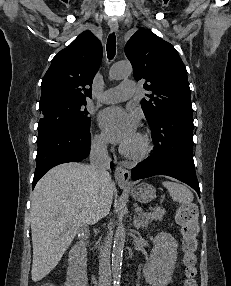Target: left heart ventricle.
Wrapping results in <instances>:
<instances>
[{"instance_id": "1", "label": "left heart ventricle", "mask_w": 231, "mask_h": 286, "mask_svg": "<svg viewBox=\"0 0 231 286\" xmlns=\"http://www.w3.org/2000/svg\"><path fill=\"white\" fill-rule=\"evenodd\" d=\"M125 147L129 150H137L140 147V140L138 136L136 135L135 138Z\"/></svg>"}]
</instances>
